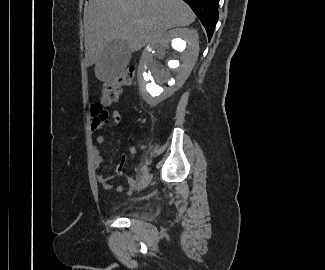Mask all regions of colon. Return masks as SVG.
<instances>
[{
    "label": "colon",
    "mask_w": 325,
    "mask_h": 270,
    "mask_svg": "<svg viewBox=\"0 0 325 270\" xmlns=\"http://www.w3.org/2000/svg\"><path fill=\"white\" fill-rule=\"evenodd\" d=\"M135 72L134 67H128L118 77L105 81L102 89L101 103L105 106L115 103L121 95L122 88L132 83Z\"/></svg>",
    "instance_id": "obj_1"
}]
</instances>
